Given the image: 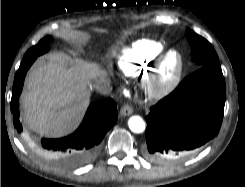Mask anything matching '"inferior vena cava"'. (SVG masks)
Instances as JSON below:
<instances>
[{"instance_id": "1", "label": "inferior vena cava", "mask_w": 245, "mask_h": 187, "mask_svg": "<svg viewBox=\"0 0 245 187\" xmlns=\"http://www.w3.org/2000/svg\"><path fill=\"white\" fill-rule=\"evenodd\" d=\"M93 88L102 95H109L111 93V86L107 80H98L94 83Z\"/></svg>"}]
</instances>
